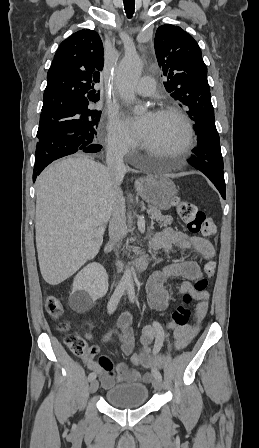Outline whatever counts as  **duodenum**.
Instances as JSON below:
<instances>
[{
    "label": "duodenum",
    "instance_id": "1",
    "mask_svg": "<svg viewBox=\"0 0 259 448\" xmlns=\"http://www.w3.org/2000/svg\"><path fill=\"white\" fill-rule=\"evenodd\" d=\"M110 249H111V244H108L106 246V251H109ZM154 249H155V245L153 244V242H149L145 251L137 260H135L130 266H126V267L119 266V270L122 271L126 268H130L134 273L143 272L149 264V254Z\"/></svg>",
    "mask_w": 259,
    "mask_h": 448
}]
</instances>
